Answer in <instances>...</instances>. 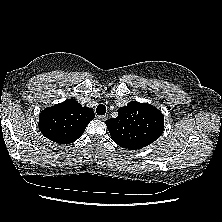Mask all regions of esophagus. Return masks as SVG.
I'll return each mask as SVG.
<instances>
[{"instance_id":"obj_1","label":"esophagus","mask_w":222,"mask_h":222,"mask_svg":"<svg viewBox=\"0 0 222 222\" xmlns=\"http://www.w3.org/2000/svg\"><path fill=\"white\" fill-rule=\"evenodd\" d=\"M98 118H99L100 120L105 121V120L108 118V115L98 116Z\"/></svg>"}]
</instances>
